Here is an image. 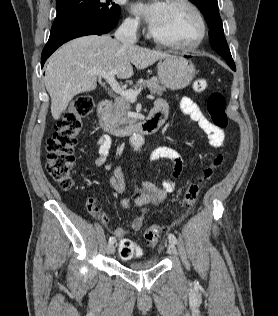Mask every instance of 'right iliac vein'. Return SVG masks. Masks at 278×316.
<instances>
[{"mask_svg":"<svg viewBox=\"0 0 278 316\" xmlns=\"http://www.w3.org/2000/svg\"><path fill=\"white\" fill-rule=\"evenodd\" d=\"M114 252H115V246H114V244H109V245L107 246V253H108L109 255H111V254H114Z\"/></svg>","mask_w":278,"mask_h":316,"instance_id":"obj_1","label":"right iliac vein"}]
</instances>
